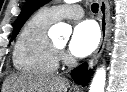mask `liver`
I'll return each instance as SVG.
<instances>
[{
    "instance_id": "6515ba94",
    "label": "liver",
    "mask_w": 127,
    "mask_h": 92,
    "mask_svg": "<svg viewBox=\"0 0 127 92\" xmlns=\"http://www.w3.org/2000/svg\"><path fill=\"white\" fill-rule=\"evenodd\" d=\"M67 79L46 75H10L5 79L4 92H67Z\"/></svg>"
}]
</instances>
